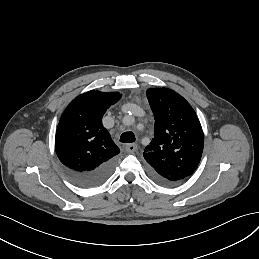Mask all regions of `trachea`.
Masks as SVG:
<instances>
[{"mask_svg":"<svg viewBox=\"0 0 259 259\" xmlns=\"http://www.w3.org/2000/svg\"><path fill=\"white\" fill-rule=\"evenodd\" d=\"M135 140V135L132 132H124L120 137V142L122 143H132Z\"/></svg>","mask_w":259,"mask_h":259,"instance_id":"obj_1","label":"trachea"}]
</instances>
